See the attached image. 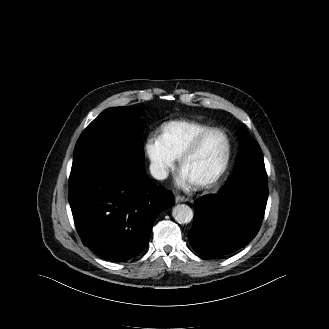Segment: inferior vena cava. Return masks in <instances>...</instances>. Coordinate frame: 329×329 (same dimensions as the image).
<instances>
[{
	"label": "inferior vena cava",
	"instance_id": "obj_1",
	"mask_svg": "<svg viewBox=\"0 0 329 329\" xmlns=\"http://www.w3.org/2000/svg\"><path fill=\"white\" fill-rule=\"evenodd\" d=\"M151 175L158 180H163L168 177V171L165 166L161 163H151L150 165Z\"/></svg>",
	"mask_w": 329,
	"mask_h": 329
}]
</instances>
